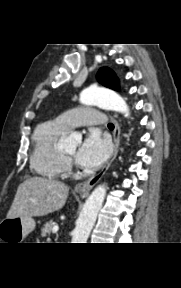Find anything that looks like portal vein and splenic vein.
<instances>
[{"label":"portal vein and splenic vein","mask_w":181,"mask_h":288,"mask_svg":"<svg viewBox=\"0 0 181 288\" xmlns=\"http://www.w3.org/2000/svg\"><path fill=\"white\" fill-rule=\"evenodd\" d=\"M58 229H59L58 226H54L53 229H52V232L56 233L58 231Z\"/></svg>","instance_id":"obj_1"}]
</instances>
